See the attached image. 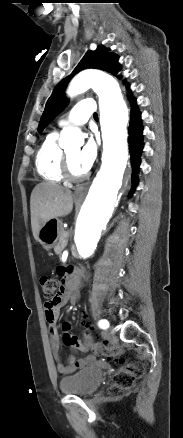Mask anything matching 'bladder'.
<instances>
[{"label":"bladder","instance_id":"bladder-1","mask_svg":"<svg viewBox=\"0 0 183 438\" xmlns=\"http://www.w3.org/2000/svg\"><path fill=\"white\" fill-rule=\"evenodd\" d=\"M103 372L97 367H88L60 381V390L64 394L89 396L102 384Z\"/></svg>","mask_w":183,"mask_h":438}]
</instances>
